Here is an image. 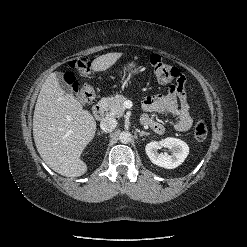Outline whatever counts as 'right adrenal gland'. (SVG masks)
I'll use <instances>...</instances> for the list:
<instances>
[{"label":"right adrenal gland","mask_w":247,"mask_h":247,"mask_svg":"<svg viewBox=\"0 0 247 247\" xmlns=\"http://www.w3.org/2000/svg\"><path fill=\"white\" fill-rule=\"evenodd\" d=\"M98 134H103V132H99Z\"/></svg>","instance_id":"obj_1"}]
</instances>
